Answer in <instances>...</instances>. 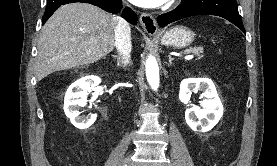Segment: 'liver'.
Instances as JSON below:
<instances>
[{
  "label": "liver",
  "instance_id": "liver-1",
  "mask_svg": "<svg viewBox=\"0 0 277 166\" xmlns=\"http://www.w3.org/2000/svg\"><path fill=\"white\" fill-rule=\"evenodd\" d=\"M116 25L115 16L94 5L61 6L41 30L37 79L105 57L114 48Z\"/></svg>",
  "mask_w": 277,
  "mask_h": 166
}]
</instances>
